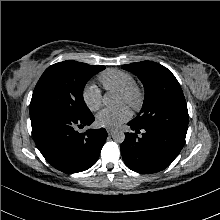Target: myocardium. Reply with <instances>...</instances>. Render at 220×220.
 Segmentation results:
<instances>
[{
	"mask_svg": "<svg viewBox=\"0 0 220 220\" xmlns=\"http://www.w3.org/2000/svg\"><path fill=\"white\" fill-rule=\"evenodd\" d=\"M124 98L126 104L132 109L138 111L142 108L145 99V93L142 87L133 83L118 92Z\"/></svg>",
	"mask_w": 220,
	"mask_h": 220,
	"instance_id": "1",
	"label": "myocardium"
}]
</instances>
